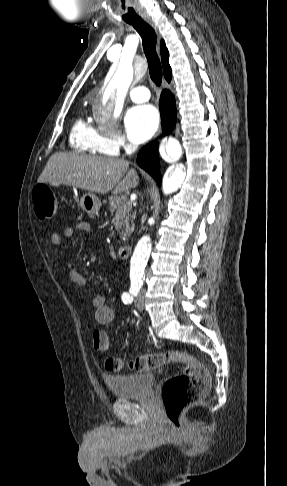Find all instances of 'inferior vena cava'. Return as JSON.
I'll use <instances>...</instances> for the list:
<instances>
[{
    "instance_id": "602c4592",
    "label": "inferior vena cava",
    "mask_w": 287,
    "mask_h": 486,
    "mask_svg": "<svg viewBox=\"0 0 287 486\" xmlns=\"http://www.w3.org/2000/svg\"><path fill=\"white\" fill-rule=\"evenodd\" d=\"M125 150L127 154L131 155L137 150V146L134 144H130L125 148Z\"/></svg>"
}]
</instances>
